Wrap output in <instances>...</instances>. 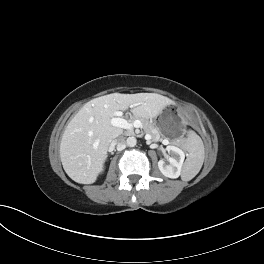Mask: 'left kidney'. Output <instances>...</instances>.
<instances>
[{"mask_svg": "<svg viewBox=\"0 0 264 264\" xmlns=\"http://www.w3.org/2000/svg\"><path fill=\"white\" fill-rule=\"evenodd\" d=\"M166 150L171 155V157L168 159L169 164H166L164 160H159V170L164 176L168 178H178L181 175L185 154L183 150L172 145H168Z\"/></svg>", "mask_w": 264, "mask_h": 264, "instance_id": "left-kidney-1", "label": "left kidney"}]
</instances>
